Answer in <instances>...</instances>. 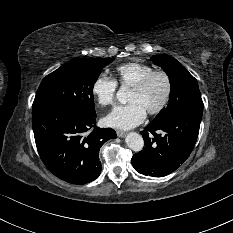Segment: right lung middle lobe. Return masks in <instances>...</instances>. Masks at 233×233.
Listing matches in <instances>:
<instances>
[{"label": "right lung middle lobe", "instance_id": "obj_1", "mask_svg": "<svg viewBox=\"0 0 233 233\" xmlns=\"http://www.w3.org/2000/svg\"><path fill=\"white\" fill-rule=\"evenodd\" d=\"M114 58H81L67 63L47 75L41 82L33 109L66 108L95 114L93 87L102 67Z\"/></svg>", "mask_w": 233, "mask_h": 233}]
</instances>
